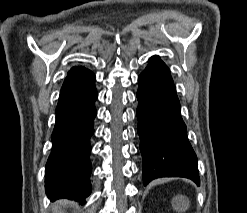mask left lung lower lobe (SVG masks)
I'll return each mask as SVG.
<instances>
[{
    "mask_svg": "<svg viewBox=\"0 0 247 213\" xmlns=\"http://www.w3.org/2000/svg\"><path fill=\"white\" fill-rule=\"evenodd\" d=\"M138 82L137 132L144 185L158 177H185L199 185L197 157L187 138L168 67L154 56Z\"/></svg>",
    "mask_w": 247,
    "mask_h": 213,
    "instance_id": "obj_1",
    "label": "left lung lower lobe"
}]
</instances>
